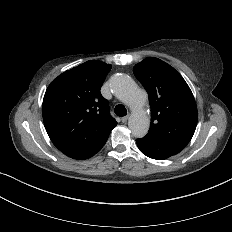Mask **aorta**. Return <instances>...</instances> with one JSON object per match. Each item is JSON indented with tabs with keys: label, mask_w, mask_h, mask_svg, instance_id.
Instances as JSON below:
<instances>
[{
	"label": "aorta",
	"mask_w": 232,
	"mask_h": 232,
	"mask_svg": "<svg viewBox=\"0 0 232 232\" xmlns=\"http://www.w3.org/2000/svg\"><path fill=\"white\" fill-rule=\"evenodd\" d=\"M110 87L115 96L130 106L132 114L128 126L136 138L144 137L150 127V118L144 109L147 93L138 87L136 82L128 75H116L110 81Z\"/></svg>",
	"instance_id": "aorta-1"
}]
</instances>
